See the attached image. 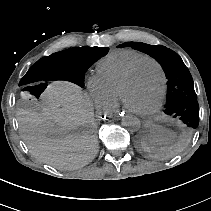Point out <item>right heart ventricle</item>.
<instances>
[{"label":"right heart ventricle","mask_w":211,"mask_h":211,"mask_svg":"<svg viewBox=\"0 0 211 211\" xmlns=\"http://www.w3.org/2000/svg\"><path fill=\"white\" fill-rule=\"evenodd\" d=\"M145 57L141 53H128L118 59H104L97 64L95 76L107 92L111 108L117 104V88L121 79Z\"/></svg>","instance_id":"right-heart-ventricle-1"}]
</instances>
